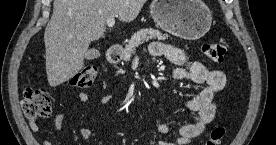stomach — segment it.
<instances>
[{
  "label": "stomach",
  "mask_w": 276,
  "mask_h": 145,
  "mask_svg": "<svg viewBox=\"0 0 276 145\" xmlns=\"http://www.w3.org/2000/svg\"><path fill=\"white\" fill-rule=\"evenodd\" d=\"M150 15L162 30L187 40L203 37L212 23V13L202 0H154Z\"/></svg>",
  "instance_id": "stomach-1"
}]
</instances>
